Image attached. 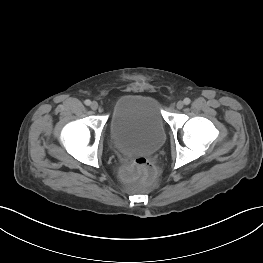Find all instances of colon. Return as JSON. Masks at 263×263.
<instances>
[{
  "label": "colon",
  "mask_w": 263,
  "mask_h": 263,
  "mask_svg": "<svg viewBox=\"0 0 263 263\" xmlns=\"http://www.w3.org/2000/svg\"><path fill=\"white\" fill-rule=\"evenodd\" d=\"M128 174L139 176L145 183H152L156 178L157 172L151 162L145 158H139L129 168Z\"/></svg>",
  "instance_id": "obj_1"
}]
</instances>
